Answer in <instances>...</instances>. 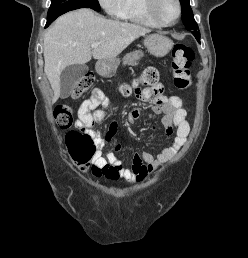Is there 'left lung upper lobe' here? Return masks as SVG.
I'll list each match as a JSON object with an SVG mask.
<instances>
[{"instance_id":"5c2ea615","label":"left lung upper lobe","mask_w":248,"mask_h":258,"mask_svg":"<svg viewBox=\"0 0 248 258\" xmlns=\"http://www.w3.org/2000/svg\"><path fill=\"white\" fill-rule=\"evenodd\" d=\"M182 7V20L187 30L197 31L198 25L194 20L189 0H180Z\"/></svg>"}]
</instances>
